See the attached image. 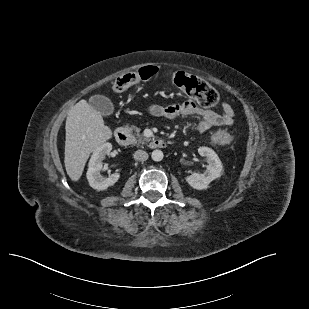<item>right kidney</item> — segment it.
<instances>
[{"label": "right kidney", "instance_id": "obj_1", "mask_svg": "<svg viewBox=\"0 0 309 309\" xmlns=\"http://www.w3.org/2000/svg\"><path fill=\"white\" fill-rule=\"evenodd\" d=\"M111 150V143H104L93 152L89 161L87 179L90 186L98 191L106 190L109 186L114 185L120 178L119 173H113L107 178H104L100 174L103 167L102 160L111 152Z\"/></svg>", "mask_w": 309, "mask_h": 309}]
</instances>
